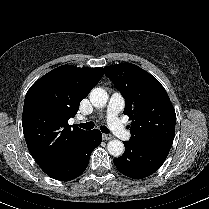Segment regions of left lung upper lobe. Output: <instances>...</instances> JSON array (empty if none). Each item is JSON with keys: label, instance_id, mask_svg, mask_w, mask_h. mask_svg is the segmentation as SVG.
Instances as JSON below:
<instances>
[{"label": "left lung upper lobe", "instance_id": "5c2ea615", "mask_svg": "<svg viewBox=\"0 0 209 209\" xmlns=\"http://www.w3.org/2000/svg\"><path fill=\"white\" fill-rule=\"evenodd\" d=\"M104 70L125 98L124 114L132 120L130 140L169 151L175 134L176 114L160 82L131 63L106 66Z\"/></svg>", "mask_w": 209, "mask_h": 209}]
</instances>
